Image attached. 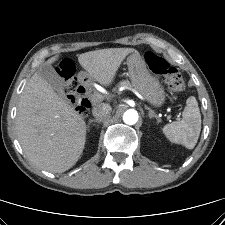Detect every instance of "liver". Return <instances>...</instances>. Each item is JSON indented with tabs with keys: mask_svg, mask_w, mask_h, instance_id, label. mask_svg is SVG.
<instances>
[{
	"mask_svg": "<svg viewBox=\"0 0 225 225\" xmlns=\"http://www.w3.org/2000/svg\"><path fill=\"white\" fill-rule=\"evenodd\" d=\"M134 52L133 48L101 49L80 54L78 61L90 77L109 86L125 57ZM16 130L24 154L35 166L63 173L80 158L87 127L83 116L36 72L20 96Z\"/></svg>",
	"mask_w": 225,
	"mask_h": 225,
	"instance_id": "1",
	"label": "liver"
}]
</instances>
